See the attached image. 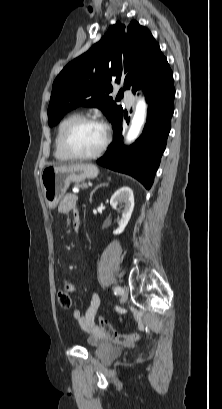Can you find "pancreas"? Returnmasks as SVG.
<instances>
[{
    "mask_svg": "<svg viewBox=\"0 0 222 409\" xmlns=\"http://www.w3.org/2000/svg\"><path fill=\"white\" fill-rule=\"evenodd\" d=\"M77 187H78V188H86V187H87V184H86V183H82V184L77 185Z\"/></svg>",
    "mask_w": 222,
    "mask_h": 409,
    "instance_id": "obj_1",
    "label": "pancreas"
}]
</instances>
